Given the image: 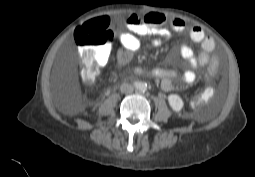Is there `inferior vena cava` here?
Segmentation results:
<instances>
[{
    "label": "inferior vena cava",
    "instance_id": "obj_1",
    "mask_svg": "<svg viewBox=\"0 0 255 177\" xmlns=\"http://www.w3.org/2000/svg\"><path fill=\"white\" fill-rule=\"evenodd\" d=\"M120 90L122 93L130 94L134 91V87L129 83H123L120 87Z\"/></svg>",
    "mask_w": 255,
    "mask_h": 177
}]
</instances>
